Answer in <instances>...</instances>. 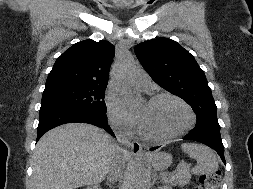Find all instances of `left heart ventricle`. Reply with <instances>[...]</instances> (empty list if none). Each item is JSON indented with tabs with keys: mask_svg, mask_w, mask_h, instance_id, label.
<instances>
[{
	"mask_svg": "<svg viewBox=\"0 0 253 189\" xmlns=\"http://www.w3.org/2000/svg\"><path fill=\"white\" fill-rule=\"evenodd\" d=\"M144 115L142 129L155 136H167L188 121L186 110L178 103L163 99L155 103H146L140 108Z\"/></svg>",
	"mask_w": 253,
	"mask_h": 189,
	"instance_id": "1",
	"label": "left heart ventricle"
}]
</instances>
